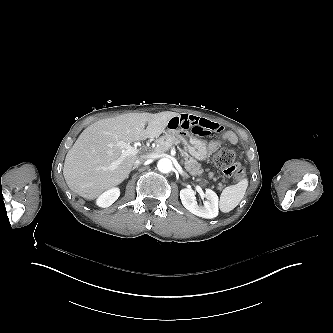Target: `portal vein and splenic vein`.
Returning <instances> with one entry per match:
<instances>
[{
	"instance_id": "18ae733b",
	"label": "portal vein and splenic vein",
	"mask_w": 333,
	"mask_h": 333,
	"mask_svg": "<svg viewBox=\"0 0 333 333\" xmlns=\"http://www.w3.org/2000/svg\"><path fill=\"white\" fill-rule=\"evenodd\" d=\"M114 145L124 149L121 153L122 159L128 155H139L141 153V148L132 146L130 143H126L125 141L119 140L118 138L116 139V143Z\"/></svg>"
}]
</instances>
